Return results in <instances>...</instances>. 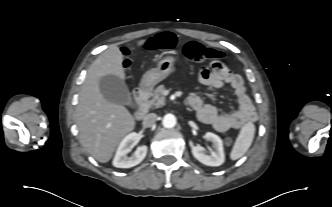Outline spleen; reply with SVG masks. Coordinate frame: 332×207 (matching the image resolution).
<instances>
[{
	"instance_id": "3e777b00",
	"label": "spleen",
	"mask_w": 332,
	"mask_h": 207,
	"mask_svg": "<svg viewBox=\"0 0 332 207\" xmlns=\"http://www.w3.org/2000/svg\"><path fill=\"white\" fill-rule=\"evenodd\" d=\"M254 134L255 125L253 123L249 122L243 126L230 153L232 160L239 159L248 151L253 142Z\"/></svg>"
}]
</instances>
